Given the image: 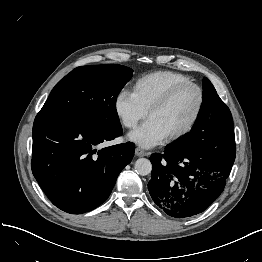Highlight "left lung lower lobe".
I'll return each instance as SVG.
<instances>
[{
    "label": "left lung lower lobe",
    "instance_id": "obj_1",
    "mask_svg": "<svg viewBox=\"0 0 262 262\" xmlns=\"http://www.w3.org/2000/svg\"><path fill=\"white\" fill-rule=\"evenodd\" d=\"M235 160V143L221 157L175 151L154 153L148 190L169 216L189 218L205 211L223 192Z\"/></svg>",
    "mask_w": 262,
    "mask_h": 262
}]
</instances>
